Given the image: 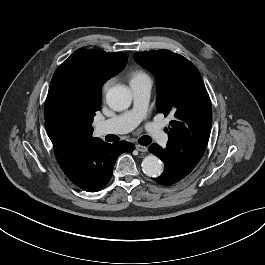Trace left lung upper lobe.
<instances>
[{"instance_id": "obj_1", "label": "left lung upper lobe", "mask_w": 265, "mask_h": 265, "mask_svg": "<svg viewBox=\"0 0 265 265\" xmlns=\"http://www.w3.org/2000/svg\"><path fill=\"white\" fill-rule=\"evenodd\" d=\"M134 59L156 77L159 113L174 116L166 150L187 172L203 156L211 132L212 108L202 77L193 63L169 50L138 52Z\"/></svg>"}]
</instances>
